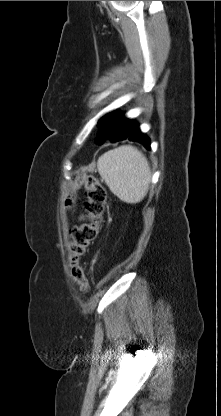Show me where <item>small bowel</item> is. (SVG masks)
<instances>
[{"label": "small bowel", "mask_w": 221, "mask_h": 416, "mask_svg": "<svg viewBox=\"0 0 221 416\" xmlns=\"http://www.w3.org/2000/svg\"><path fill=\"white\" fill-rule=\"evenodd\" d=\"M84 219H85V216L84 215L80 216V218H79L80 221H82Z\"/></svg>", "instance_id": "1"}]
</instances>
